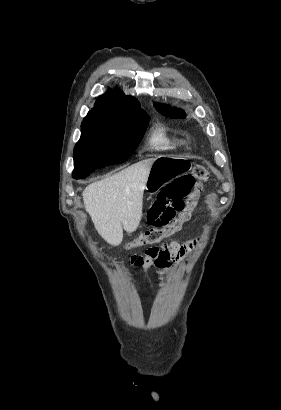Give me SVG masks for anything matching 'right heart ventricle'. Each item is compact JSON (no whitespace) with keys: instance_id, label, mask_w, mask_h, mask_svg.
<instances>
[{"instance_id":"1","label":"right heart ventricle","mask_w":281,"mask_h":410,"mask_svg":"<svg viewBox=\"0 0 281 410\" xmlns=\"http://www.w3.org/2000/svg\"><path fill=\"white\" fill-rule=\"evenodd\" d=\"M148 149L157 152H178L187 146L186 138L171 133L165 126L157 125L147 141Z\"/></svg>"}]
</instances>
